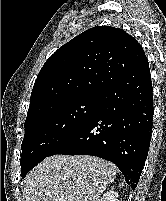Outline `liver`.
<instances>
[{"label": "liver", "mask_w": 166, "mask_h": 201, "mask_svg": "<svg viewBox=\"0 0 166 201\" xmlns=\"http://www.w3.org/2000/svg\"><path fill=\"white\" fill-rule=\"evenodd\" d=\"M116 166L94 156L54 155L24 180L26 201H97L115 180Z\"/></svg>", "instance_id": "1"}]
</instances>
